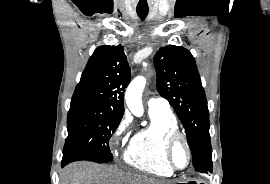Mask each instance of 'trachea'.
Returning a JSON list of instances; mask_svg holds the SVG:
<instances>
[{"label": "trachea", "instance_id": "trachea-1", "mask_svg": "<svg viewBox=\"0 0 270 184\" xmlns=\"http://www.w3.org/2000/svg\"><path fill=\"white\" fill-rule=\"evenodd\" d=\"M137 14L141 19H145L148 15V9H137Z\"/></svg>", "mask_w": 270, "mask_h": 184}]
</instances>
